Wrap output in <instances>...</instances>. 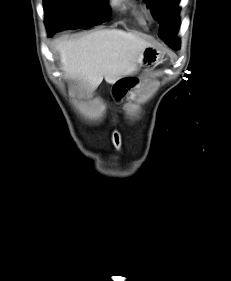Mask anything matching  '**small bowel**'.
<instances>
[{
    "mask_svg": "<svg viewBox=\"0 0 231 281\" xmlns=\"http://www.w3.org/2000/svg\"><path fill=\"white\" fill-rule=\"evenodd\" d=\"M139 82V79L135 76H123L118 78L113 83V94L116 98H121L127 94L130 90L135 88Z\"/></svg>",
    "mask_w": 231,
    "mask_h": 281,
    "instance_id": "c3829d8e",
    "label": "small bowel"
}]
</instances>
